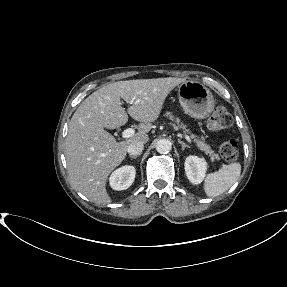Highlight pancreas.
<instances>
[{
    "label": "pancreas",
    "mask_w": 287,
    "mask_h": 287,
    "mask_svg": "<svg viewBox=\"0 0 287 287\" xmlns=\"http://www.w3.org/2000/svg\"><path fill=\"white\" fill-rule=\"evenodd\" d=\"M165 116L174 121L176 119V123L177 125L183 129L184 133H190L189 132V129L186 128V125H184L183 123L180 122V120L178 118H175L171 112H166L165 113ZM192 139H194L197 147L202 150L205 154L209 155L210 156V159L211 161L213 162L215 159H219V155L218 154H215L214 151L211 149L210 145L206 144L204 142V139H198L197 136H195L194 134H191L190 135Z\"/></svg>",
    "instance_id": "cf45deb5"
}]
</instances>
